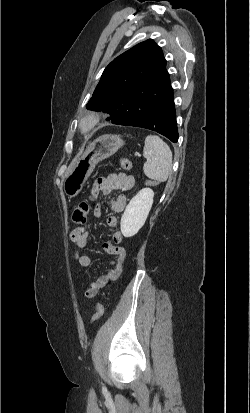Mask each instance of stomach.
I'll use <instances>...</instances> for the list:
<instances>
[{"mask_svg": "<svg viewBox=\"0 0 250 413\" xmlns=\"http://www.w3.org/2000/svg\"><path fill=\"white\" fill-rule=\"evenodd\" d=\"M123 145L124 141L117 135L106 134L95 139L65 178L63 190L66 196L68 198L76 197L81 192L95 166L100 161L113 155Z\"/></svg>", "mask_w": 250, "mask_h": 413, "instance_id": "1", "label": "stomach"}]
</instances>
